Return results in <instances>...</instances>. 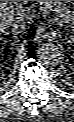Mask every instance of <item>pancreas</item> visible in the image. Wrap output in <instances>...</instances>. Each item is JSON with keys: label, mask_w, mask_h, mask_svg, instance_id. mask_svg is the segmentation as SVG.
Masks as SVG:
<instances>
[{"label": "pancreas", "mask_w": 74, "mask_h": 122, "mask_svg": "<svg viewBox=\"0 0 74 122\" xmlns=\"http://www.w3.org/2000/svg\"><path fill=\"white\" fill-rule=\"evenodd\" d=\"M36 5L42 6L43 9L54 11L60 24H66L73 20L72 11L59 1H37Z\"/></svg>", "instance_id": "obj_1"}]
</instances>
